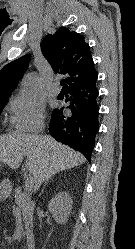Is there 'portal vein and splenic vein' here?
Listing matches in <instances>:
<instances>
[{
  "label": "portal vein and splenic vein",
  "mask_w": 135,
  "mask_h": 249,
  "mask_svg": "<svg viewBox=\"0 0 135 249\" xmlns=\"http://www.w3.org/2000/svg\"><path fill=\"white\" fill-rule=\"evenodd\" d=\"M32 185H33V178L32 177L27 178L25 182V189L31 190V188H33Z\"/></svg>",
  "instance_id": "18ae733b"
}]
</instances>
